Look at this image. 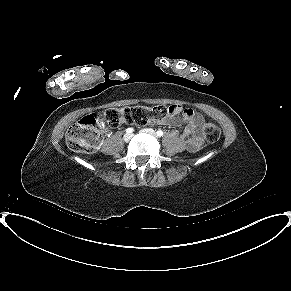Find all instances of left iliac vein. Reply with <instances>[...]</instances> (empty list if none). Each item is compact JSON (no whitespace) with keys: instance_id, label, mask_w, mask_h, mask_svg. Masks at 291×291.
Returning <instances> with one entry per match:
<instances>
[{"instance_id":"4c4485c4","label":"left iliac vein","mask_w":291,"mask_h":291,"mask_svg":"<svg viewBox=\"0 0 291 291\" xmlns=\"http://www.w3.org/2000/svg\"><path fill=\"white\" fill-rule=\"evenodd\" d=\"M141 132L150 134L151 136H153L155 138L157 137L156 133L152 129H143V130H141Z\"/></svg>"}]
</instances>
